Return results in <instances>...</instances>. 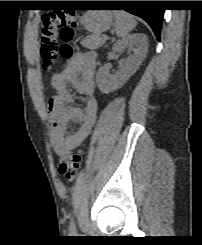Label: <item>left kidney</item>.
I'll list each match as a JSON object with an SVG mask.
<instances>
[{"label":"left kidney","instance_id":"left-kidney-1","mask_svg":"<svg viewBox=\"0 0 202 245\" xmlns=\"http://www.w3.org/2000/svg\"><path fill=\"white\" fill-rule=\"evenodd\" d=\"M126 48L133 51L124 61L120 72L111 75L106 67H100L96 76L99 90L110 93L121 88L137 71L148 51V38L145 34H131L118 40L112 47V54H121Z\"/></svg>","mask_w":202,"mask_h":245}]
</instances>
